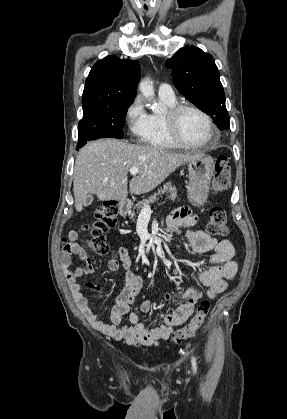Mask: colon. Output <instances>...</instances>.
Returning a JSON list of instances; mask_svg holds the SVG:
<instances>
[{
	"label": "colon",
	"mask_w": 287,
	"mask_h": 419,
	"mask_svg": "<svg viewBox=\"0 0 287 419\" xmlns=\"http://www.w3.org/2000/svg\"><path fill=\"white\" fill-rule=\"evenodd\" d=\"M231 185V165L226 157H219L215 163V172L212 180V190L217 193L225 192ZM118 204L115 201H106L94 212L93 221L87 227L89 232V246L96 254H105L108 250L105 233L117 224ZM207 230L214 235H226V215L221 208H213L209 213ZM210 302L203 300L197 307L196 313L190 322L175 331L168 339V343L180 344L193 337L208 316Z\"/></svg>",
	"instance_id": "5ec220e1"
}]
</instances>
